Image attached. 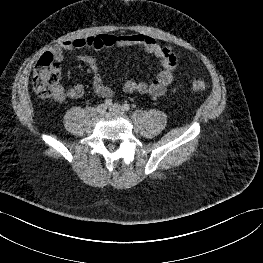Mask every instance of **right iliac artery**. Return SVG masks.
I'll list each match as a JSON object with an SVG mask.
<instances>
[{
    "label": "right iliac artery",
    "instance_id": "82829eb1",
    "mask_svg": "<svg viewBox=\"0 0 263 263\" xmlns=\"http://www.w3.org/2000/svg\"><path fill=\"white\" fill-rule=\"evenodd\" d=\"M105 105L106 106H111L112 105V100L111 99H106L105 100Z\"/></svg>",
    "mask_w": 263,
    "mask_h": 263
}]
</instances>
